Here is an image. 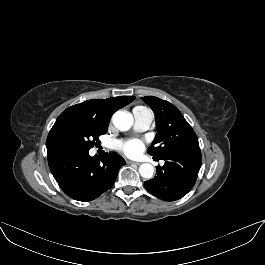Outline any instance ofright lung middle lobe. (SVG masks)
<instances>
[{
    "label": "right lung middle lobe",
    "instance_id": "obj_1",
    "mask_svg": "<svg viewBox=\"0 0 265 265\" xmlns=\"http://www.w3.org/2000/svg\"><path fill=\"white\" fill-rule=\"evenodd\" d=\"M108 126L91 119L68 116L56 120L50 130L46 147L47 153L88 152L98 137L107 132Z\"/></svg>",
    "mask_w": 265,
    "mask_h": 265
}]
</instances>
